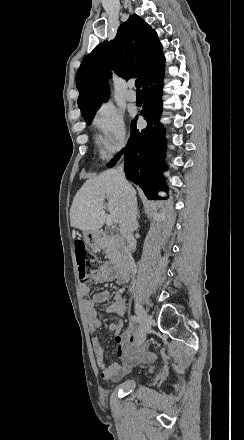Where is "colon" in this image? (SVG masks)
<instances>
[{
	"instance_id": "colon-1",
	"label": "colon",
	"mask_w": 244,
	"mask_h": 440,
	"mask_svg": "<svg viewBox=\"0 0 244 440\" xmlns=\"http://www.w3.org/2000/svg\"><path fill=\"white\" fill-rule=\"evenodd\" d=\"M74 253L76 256L78 276L79 279L84 281L88 278V270H98L100 266L99 259L90 254L82 241H76L74 243Z\"/></svg>"
}]
</instances>
